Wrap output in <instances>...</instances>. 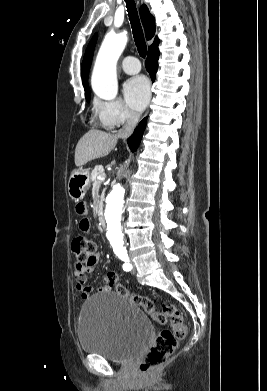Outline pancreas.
Here are the masks:
<instances>
[{
  "label": "pancreas",
  "instance_id": "cf45deb5",
  "mask_svg": "<svg viewBox=\"0 0 267 391\" xmlns=\"http://www.w3.org/2000/svg\"><path fill=\"white\" fill-rule=\"evenodd\" d=\"M103 173H104V169L103 166L101 165L95 166V168L91 172V180L97 186H99L102 183V181L98 179V176L102 175Z\"/></svg>",
  "mask_w": 267,
  "mask_h": 391
}]
</instances>
